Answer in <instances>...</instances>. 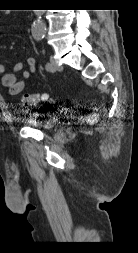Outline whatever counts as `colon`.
<instances>
[{
  "label": "colon",
  "instance_id": "obj_1",
  "mask_svg": "<svg viewBox=\"0 0 138 253\" xmlns=\"http://www.w3.org/2000/svg\"><path fill=\"white\" fill-rule=\"evenodd\" d=\"M48 100V95L40 92H34L29 94H24L22 96V103L24 105H36L40 102ZM88 122H94L96 120V114L90 113L87 117Z\"/></svg>",
  "mask_w": 138,
  "mask_h": 253
}]
</instances>
